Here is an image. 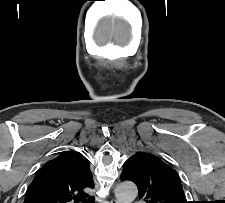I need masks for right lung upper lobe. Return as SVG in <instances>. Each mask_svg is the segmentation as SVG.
I'll return each instance as SVG.
<instances>
[{"mask_svg":"<svg viewBox=\"0 0 225 203\" xmlns=\"http://www.w3.org/2000/svg\"><path fill=\"white\" fill-rule=\"evenodd\" d=\"M94 181L89 160L76 151H65L48 161L28 187L24 203H67L94 198L85 193Z\"/></svg>","mask_w":225,"mask_h":203,"instance_id":"right-lung-upper-lobe-1","label":"right lung upper lobe"}]
</instances>
